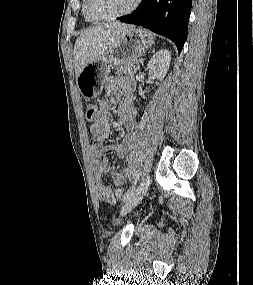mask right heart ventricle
Masks as SVG:
<instances>
[{
    "label": "right heart ventricle",
    "mask_w": 253,
    "mask_h": 285,
    "mask_svg": "<svg viewBox=\"0 0 253 285\" xmlns=\"http://www.w3.org/2000/svg\"><path fill=\"white\" fill-rule=\"evenodd\" d=\"M83 15H84V19L88 22H90L91 20L86 16L85 11H84V5H83Z\"/></svg>",
    "instance_id": "e07e8e85"
}]
</instances>
